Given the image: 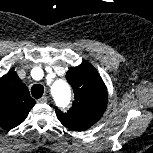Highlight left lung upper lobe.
<instances>
[{"label": "left lung upper lobe", "mask_w": 153, "mask_h": 153, "mask_svg": "<svg viewBox=\"0 0 153 153\" xmlns=\"http://www.w3.org/2000/svg\"><path fill=\"white\" fill-rule=\"evenodd\" d=\"M66 79L73 88L74 101L65 113L56 107L57 118L70 130L84 131L98 122L106 109V86L96 69L87 61L70 68Z\"/></svg>", "instance_id": "5c2ea615"}]
</instances>
